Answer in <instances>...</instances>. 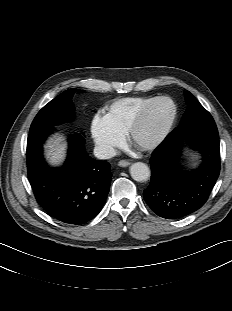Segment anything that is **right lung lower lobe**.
I'll list each match as a JSON object with an SVG mask.
<instances>
[{
	"label": "right lung lower lobe",
	"mask_w": 232,
	"mask_h": 311,
	"mask_svg": "<svg viewBox=\"0 0 232 311\" xmlns=\"http://www.w3.org/2000/svg\"><path fill=\"white\" fill-rule=\"evenodd\" d=\"M54 127L29 133L27 172L36 201L53 218L81 225L96 217L109 193L112 174L106 161L94 160L85 151L84 138H69L68 157L60 168L49 167L42 145Z\"/></svg>",
	"instance_id": "right-lung-lower-lobe-1"
}]
</instances>
